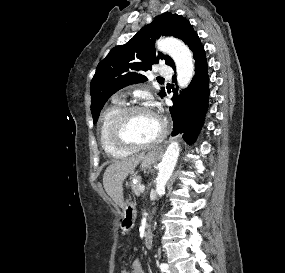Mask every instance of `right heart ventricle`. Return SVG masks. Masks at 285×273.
<instances>
[{"label":"right heart ventricle","instance_id":"obj_1","mask_svg":"<svg viewBox=\"0 0 285 273\" xmlns=\"http://www.w3.org/2000/svg\"><path fill=\"white\" fill-rule=\"evenodd\" d=\"M122 108L123 105L121 102L114 101L103 111L99 123V139L101 147L107 155L115 158H121L129 154V151L120 149L112 142L110 134L112 123Z\"/></svg>","mask_w":285,"mask_h":273}]
</instances>
